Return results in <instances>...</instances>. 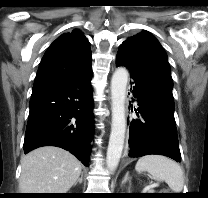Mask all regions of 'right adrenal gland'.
Segmentation results:
<instances>
[{"instance_id": "1", "label": "right adrenal gland", "mask_w": 208, "mask_h": 198, "mask_svg": "<svg viewBox=\"0 0 208 198\" xmlns=\"http://www.w3.org/2000/svg\"><path fill=\"white\" fill-rule=\"evenodd\" d=\"M82 180H83V172H81V177L74 183V186L77 185V183H82Z\"/></svg>"}]
</instances>
